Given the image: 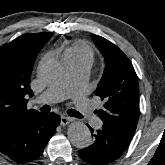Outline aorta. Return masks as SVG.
<instances>
[{
	"mask_svg": "<svg viewBox=\"0 0 165 165\" xmlns=\"http://www.w3.org/2000/svg\"><path fill=\"white\" fill-rule=\"evenodd\" d=\"M39 76L48 83L58 82L63 74L62 65L53 59L42 62L38 69ZM70 142L77 148H86L91 143V132L81 121L71 123L67 130Z\"/></svg>",
	"mask_w": 165,
	"mask_h": 165,
	"instance_id": "762f6f07",
	"label": "aorta"
}]
</instances>
